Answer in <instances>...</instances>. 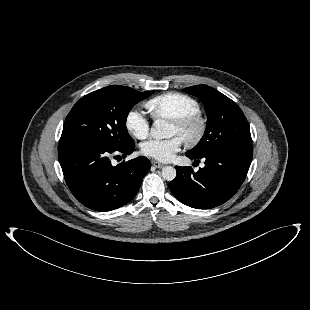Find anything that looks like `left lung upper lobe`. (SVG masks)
Here are the masks:
<instances>
[{"label":"left lung upper lobe","instance_id":"1","mask_svg":"<svg viewBox=\"0 0 310 310\" xmlns=\"http://www.w3.org/2000/svg\"><path fill=\"white\" fill-rule=\"evenodd\" d=\"M205 105L208 126L200 142L188 153L196 158L226 148L251 147L248 122L239 106L230 98L207 85L184 89Z\"/></svg>","mask_w":310,"mask_h":310}]
</instances>
